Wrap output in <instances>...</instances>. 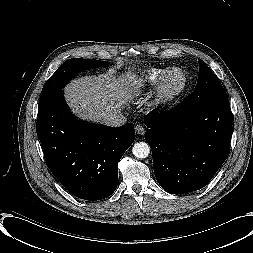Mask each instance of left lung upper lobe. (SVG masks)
<instances>
[{"label":"left lung upper lobe","instance_id":"obj_1","mask_svg":"<svg viewBox=\"0 0 253 253\" xmlns=\"http://www.w3.org/2000/svg\"><path fill=\"white\" fill-rule=\"evenodd\" d=\"M199 63V76L195 90L191 96L197 98L200 102L209 100L213 94L223 89L220 81L205 62L198 59Z\"/></svg>","mask_w":253,"mask_h":253}]
</instances>
